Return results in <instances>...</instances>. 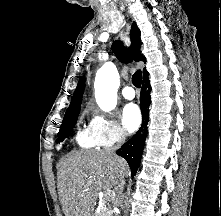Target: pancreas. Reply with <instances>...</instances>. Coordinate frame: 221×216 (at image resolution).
<instances>
[{
    "label": "pancreas",
    "mask_w": 221,
    "mask_h": 216,
    "mask_svg": "<svg viewBox=\"0 0 221 216\" xmlns=\"http://www.w3.org/2000/svg\"><path fill=\"white\" fill-rule=\"evenodd\" d=\"M94 216H112L110 205L107 204L106 201H104L103 206L101 207L100 211L96 213Z\"/></svg>",
    "instance_id": "1"
}]
</instances>
